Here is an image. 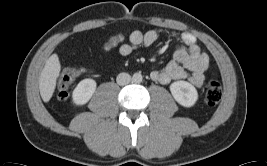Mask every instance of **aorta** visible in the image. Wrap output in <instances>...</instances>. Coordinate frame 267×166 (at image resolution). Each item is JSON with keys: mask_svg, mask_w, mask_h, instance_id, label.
Returning a JSON list of instances; mask_svg holds the SVG:
<instances>
[{"mask_svg": "<svg viewBox=\"0 0 267 166\" xmlns=\"http://www.w3.org/2000/svg\"><path fill=\"white\" fill-rule=\"evenodd\" d=\"M143 80V77L140 73H134L133 76H132V81L134 83H141Z\"/></svg>", "mask_w": 267, "mask_h": 166, "instance_id": "762f6f07", "label": "aorta"}]
</instances>
